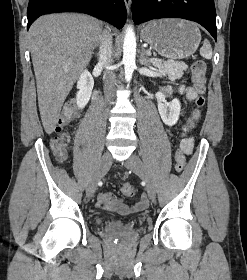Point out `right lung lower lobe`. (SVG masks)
I'll return each mask as SVG.
<instances>
[{
  "instance_id": "obj_1",
  "label": "right lung lower lobe",
  "mask_w": 247,
  "mask_h": 280,
  "mask_svg": "<svg viewBox=\"0 0 247 280\" xmlns=\"http://www.w3.org/2000/svg\"><path fill=\"white\" fill-rule=\"evenodd\" d=\"M54 12H82L122 28L126 21L124 0H29L27 9L30 25L41 15Z\"/></svg>"
}]
</instances>
